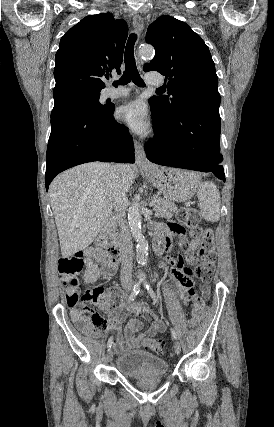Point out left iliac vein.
Segmentation results:
<instances>
[{"label":"left iliac vein","instance_id":"left-iliac-vein-1","mask_svg":"<svg viewBox=\"0 0 274 427\" xmlns=\"http://www.w3.org/2000/svg\"><path fill=\"white\" fill-rule=\"evenodd\" d=\"M131 284H133V282H131ZM174 351L177 355H179L181 352V345L178 341H175L174 343Z\"/></svg>","mask_w":274,"mask_h":427}]
</instances>
